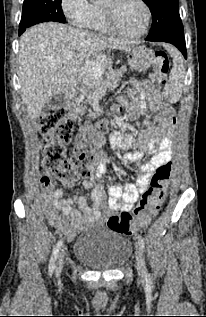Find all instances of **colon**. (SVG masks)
Wrapping results in <instances>:
<instances>
[{
	"label": "colon",
	"instance_id": "5ec220e1",
	"mask_svg": "<svg viewBox=\"0 0 206 317\" xmlns=\"http://www.w3.org/2000/svg\"><path fill=\"white\" fill-rule=\"evenodd\" d=\"M150 65L153 68L152 80L158 85L164 83L169 69V60L165 52H154ZM38 129L44 135L42 154L45 169L65 184L90 175L91 168L96 163L97 150L102 143L100 127L85 126L81 130L72 156L67 154V147L73 138L74 122L62 108L46 107L38 121ZM171 173L170 162L158 167L150 179V186L143 192L139 205L131 212L122 211L110 216L107 221L108 227L125 235L135 234L139 229L146 227L164 202ZM41 185L43 189L49 188L50 178L42 177Z\"/></svg>",
	"mask_w": 206,
	"mask_h": 317
}]
</instances>
